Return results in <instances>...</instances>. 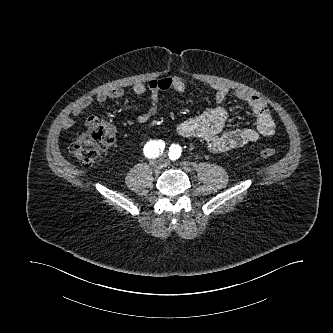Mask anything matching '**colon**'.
Returning a JSON list of instances; mask_svg holds the SVG:
<instances>
[{
  "label": "colon",
  "instance_id": "obj_1",
  "mask_svg": "<svg viewBox=\"0 0 333 333\" xmlns=\"http://www.w3.org/2000/svg\"><path fill=\"white\" fill-rule=\"evenodd\" d=\"M114 140L113 131L104 126H93L72 142L70 151L82 165H92L101 160ZM275 154V149L270 147L262 148L258 152L262 159H270Z\"/></svg>",
  "mask_w": 333,
  "mask_h": 333
}]
</instances>
